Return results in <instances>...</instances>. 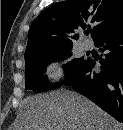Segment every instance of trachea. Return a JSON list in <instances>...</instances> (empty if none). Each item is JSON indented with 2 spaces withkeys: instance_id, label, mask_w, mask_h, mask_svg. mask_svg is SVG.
<instances>
[{
  "instance_id": "obj_1",
  "label": "trachea",
  "mask_w": 123,
  "mask_h": 130,
  "mask_svg": "<svg viewBox=\"0 0 123 130\" xmlns=\"http://www.w3.org/2000/svg\"><path fill=\"white\" fill-rule=\"evenodd\" d=\"M90 32L88 31V32H86V34L88 35Z\"/></svg>"
}]
</instances>
